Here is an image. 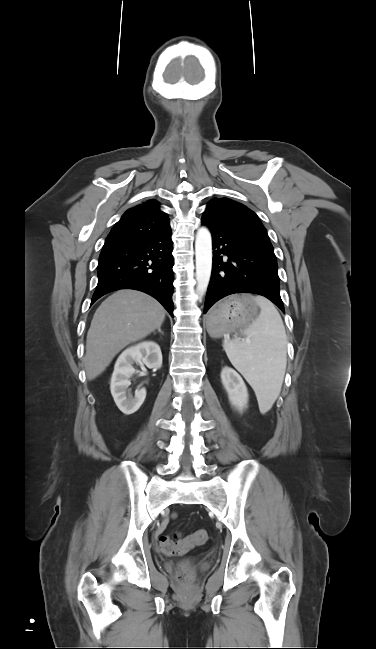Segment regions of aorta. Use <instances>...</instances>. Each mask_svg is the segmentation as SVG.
<instances>
[{"mask_svg": "<svg viewBox=\"0 0 376 649\" xmlns=\"http://www.w3.org/2000/svg\"><path fill=\"white\" fill-rule=\"evenodd\" d=\"M196 254V291L203 296L207 290L212 268V238L205 227L198 229L195 241Z\"/></svg>", "mask_w": 376, "mask_h": 649, "instance_id": "1", "label": "aorta"}]
</instances>
